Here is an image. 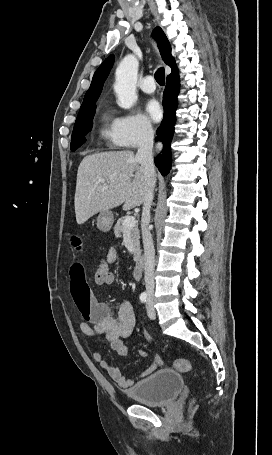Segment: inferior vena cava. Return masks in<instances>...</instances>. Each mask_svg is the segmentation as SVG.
<instances>
[{
    "label": "inferior vena cava",
    "mask_w": 272,
    "mask_h": 455,
    "mask_svg": "<svg viewBox=\"0 0 272 455\" xmlns=\"http://www.w3.org/2000/svg\"><path fill=\"white\" fill-rule=\"evenodd\" d=\"M153 139L154 131L151 125H146L142 129L139 149L136 157L140 160L141 167L148 178V188L143 203L142 210V239L144 246V279L147 296L153 298L154 296V266H155V249L151 233L148 229L150 222V209L154 196V187L156 183L155 167L153 162Z\"/></svg>",
    "instance_id": "1"
}]
</instances>
